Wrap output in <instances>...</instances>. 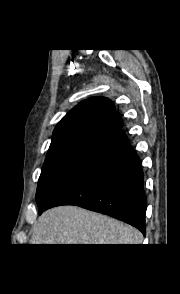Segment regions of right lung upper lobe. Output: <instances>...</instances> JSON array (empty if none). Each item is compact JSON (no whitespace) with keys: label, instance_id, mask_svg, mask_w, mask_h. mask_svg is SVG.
<instances>
[{"label":"right lung upper lobe","instance_id":"obj_1","mask_svg":"<svg viewBox=\"0 0 180 294\" xmlns=\"http://www.w3.org/2000/svg\"><path fill=\"white\" fill-rule=\"evenodd\" d=\"M123 126L114 104L104 97L84 100L68 112L54 129L50 147L74 142L103 140Z\"/></svg>","mask_w":180,"mask_h":294}]
</instances>
